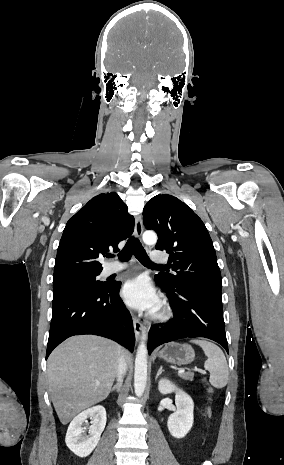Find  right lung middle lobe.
I'll return each instance as SVG.
<instances>
[{"label": "right lung middle lobe", "instance_id": "right-lung-middle-lobe-1", "mask_svg": "<svg viewBox=\"0 0 284 465\" xmlns=\"http://www.w3.org/2000/svg\"><path fill=\"white\" fill-rule=\"evenodd\" d=\"M98 274H83L53 280V298L61 294L79 289H105L109 287V283L98 280Z\"/></svg>", "mask_w": 284, "mask_h": 465}]
</instances>
